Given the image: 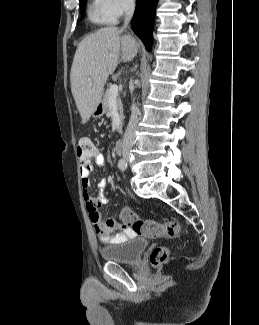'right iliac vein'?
Listing matches in <instances>:
<instances>
[{
	"instance_id": "right-iliac-vein-1",
	"label": "right iliac vein",
	"mask_w": 259,
	"mask_h": 325,
	"mask_svg": "<svg viewBox=\"0 0 259 325\" xmlns=\"http://www.w3.org/2000/svg\"><path fill=\"white\" fill-rule=\"evenodd\" d=\"M124 158L128 160V154H124Z\"/></svg>"
}]
</instances>
